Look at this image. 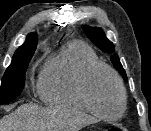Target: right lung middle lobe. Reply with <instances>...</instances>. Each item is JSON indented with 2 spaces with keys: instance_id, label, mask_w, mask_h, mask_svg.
Listing matches in <instances>:
<instances>
[{
  "instance_id": "obj_1",
  "label": "right lung middle lobe",
  "mask_w": 151,
  "mask_h": 131,
  "mask_svg": "<svg viewBox=\"0 0 151 131\" xmlns=\"http://www.w3.org/2000/svg\"><path fill=\"white\" fill-rule=\"evenodd\" d=\"M37 44L19 47L7 68L0 87V104L13 101L23 90L25 73Z\"/></svg>"
}]
</instances>
